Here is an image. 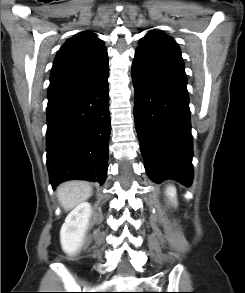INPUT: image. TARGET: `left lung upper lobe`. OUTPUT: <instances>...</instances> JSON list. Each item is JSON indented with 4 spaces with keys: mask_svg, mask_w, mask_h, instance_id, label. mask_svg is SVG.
Segmentation results:
<instances>
[{
    "mask_svg": "<svg viewBox=\"0 0 245 293\" xmlns=\"http://www.w3.org/2000/svg\"><path fill=\"white\" fill-rule=\"evenodd\" d=\"M136 51H143L157 58L184 68L178 44L162 31H152L143 37Z\"/></svg>",
    "mask_w": 245,
    "mask_h": 293,
    "instance_id": "5c2ea615",
    "label": "left lung upper lobe"
}]
</instances>
